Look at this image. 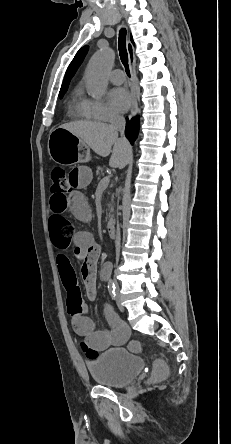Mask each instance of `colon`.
Wrapping results in <instances>:
<instances>
[{"instance_id":"1","label":"colon","mask_w":231,"mask_h":444,"mask_svg":"<svg viewBox=\"0 0 231 444\" xmlns=\"http://www.w3.org/2000/svg\"><path fill=\"white\" fill-rule=\"evenodd\" d=\"M70 191L68 184V175L66 170L61 166H55L51 169V193L53 197H66ZM134 350H139L138 343H133ZM82 349L87 358L93 359L98 355L97 350L90 348L86 343H82ZM166 374V367L161 360L154 363L152 377L153 379H160Z\"/></svg>"}]
</instances>
